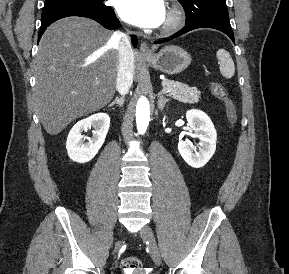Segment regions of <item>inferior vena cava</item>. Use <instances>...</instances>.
Segmentation results:
<instances>
[{
  "instance_id": "obj_1",
  "label": "inferior vena cava",
  "mask_w": 289,
  "mask_h": 274,
  "mask_svg": "<svg viewBox=\"0 0 289 274\" xmlns=\"http://www.w3.org/2000/svg\"><path fill=\"white\" fill-rule=\"evenodd\" d=\"M111 40L116 45L119 55L116 89L125 95L133 83L134 55L131 41L128 35L121 32H115Z\"/></svg>"
}]
</instances>
